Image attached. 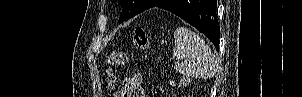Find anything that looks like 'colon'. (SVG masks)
<instances>
[{
    "label": "colon",
    "mask_w": 302,
    "mask_h": 97,
    "mask_svg": "<svg viewBox=\"0 0 302 97\" xmlns=\"http://www.w3.org/2000/svg\"><path fill=\"white\" fill-rule=\"evenodd\" d=\"M133 45L138 49H147L149 47V40L144 28L137 27L133 34ZM126 54L122 51H113L106 56V74L107 82L110 87H113L116 82V77L113 73V67L123 66L126 63ZM187 79L180 80L179 84H186Z\"/></svg>",
    "instance_id": "colon-1"
}]
</instances>
